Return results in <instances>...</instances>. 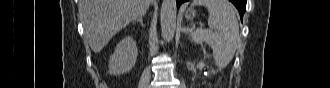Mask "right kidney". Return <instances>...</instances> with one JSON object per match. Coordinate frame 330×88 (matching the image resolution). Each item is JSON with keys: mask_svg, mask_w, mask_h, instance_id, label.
Listing matches in <instances>:
<instances>
[{"mask_svg": "<svg viewBox=\"0 0 330 88\" xmlns=\"http://www.w3.org/2000/svg\"><path fill=\"white\" fill-rule=\"evenodd\" d=\"M138 49L132 36L124 37L116 46L109 60V73L120 75L130 71L137 60Z\"/></svg>", "mask_w": 330, "mask_h": 88, "instance_id": "obj_1", "label": "right kidney"}]
</instances>
